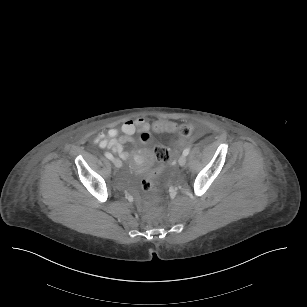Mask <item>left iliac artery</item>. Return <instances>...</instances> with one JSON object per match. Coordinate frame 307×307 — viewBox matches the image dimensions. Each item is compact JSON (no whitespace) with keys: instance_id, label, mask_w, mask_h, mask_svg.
I'll list each match as a JSON object with an SVG mask.
<instances>
[{"instance_id":"44dca946","label":"left iliac artery","mask_w":307,"mask_h":307,"mask_svg":"<svg viewBox=\"0 0 307 307\" xmlns=\"http://www.w3.org/2000/svg\"><path fill=\"white\" fill-rule=\"evenodd\" d=\"M190 152V149L189 148H186L184 151H183V155L184 156H187Z\"/></svg>"}]
</instances>
